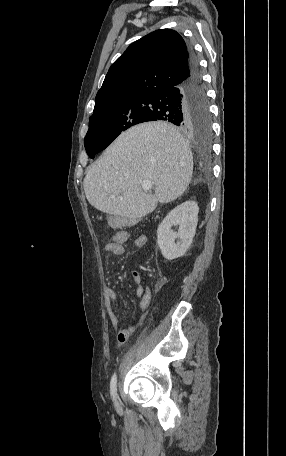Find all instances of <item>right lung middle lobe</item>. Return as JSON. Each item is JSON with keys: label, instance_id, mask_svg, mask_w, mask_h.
I'll return each instance as SVG.
<instances>
[{"label": "right lung middle lobe", "instance_id": "right-lung-middle-lobe-1", "mask_svg": "<svg viewBox=\"0 0 286 456\" xmlns=\"http://www.w3.org/2000/svg\"><path fill=\"white\" fill-rule=\"evenodd\" d=\"M145 110L141 96H134L112 102L95 111L90 117L89 130L84 140L89 157L94 158L95 154L104 150L122 131L144 122ZM190 129L208 139L211 134L210 115Z\"/></svg>", "mask_w": 286, "mask_h": 456}]
</instances>
